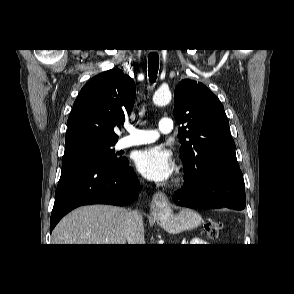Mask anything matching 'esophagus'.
Masks as SVG:
<instances>
[{"label": "esophagus", "mask_w": 294, "mask_h": 294, "mask_svg": "<svg viewBox=\"0 0 294 294\" xmlns=\"http://www.w3.org/2000/svg\"><path fill=\"white\" fill-rule=\"evenodd\" d=\"M171 211V206L167 196L161 192L157 191L152 199V204L150 207V214L154 219H157L160 215L167 214Z\"/></svg>", "instance_id": "esophagus-1"}]
</instances>
